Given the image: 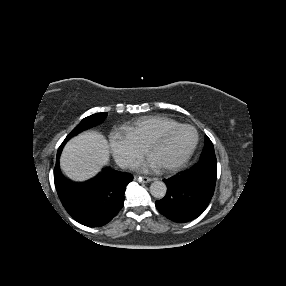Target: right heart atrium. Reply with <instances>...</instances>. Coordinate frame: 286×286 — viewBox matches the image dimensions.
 Returning a JSON list of instances; mask_svg holds the SVG:
<instances>
[{
    "label": "right heart atrium",
    "instance_id": "obj_1",
    "mask_svg": "<svg viewBox=\"0 0 286 286\" xmlns=\"http://www.w3.org/2000/svg\"><path fill=\"white\" fill-rule=\"evenodd\" d=\"M109 146L116 161L124 167L131 166L144 151V146L122 129H113L109 133Z\"/></svg>",
    "mask_w": 286,
    "mask_h": 286
}]
</instances>
